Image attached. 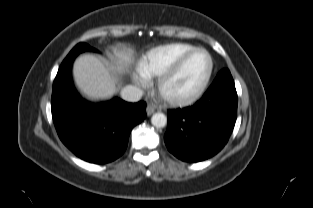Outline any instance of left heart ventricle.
I'll return each mask as SVG.
<instances>
[{
    "label": "left heart ventricle",
    "instance_id": "left-heart-ventricle-1",
    "mask_svg": "<svg viewBox=\"0 0 313 208\" xmlns=\"http://www.w3.org/2000/svg\"><path fill=\"white\" fill-rule=\"evenodd\" d=\"M208 68V59L204 53H197L184 66L180 74L170 84L174 93L192 92L202 81Z\"/></svg>",
    "mask_w": 313,
    "mask_h": 208
}]
</instances>
